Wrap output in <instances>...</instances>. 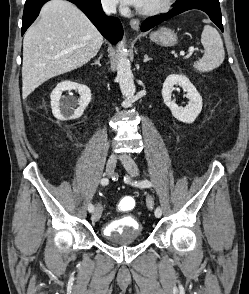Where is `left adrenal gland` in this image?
Masks as SVG:
<instances>
[{"mask_svg":"<svg viewBox=\"0 0 249 294\" xmlns=\"http://www.w3.org/2000/svg\"><path fill=\"white\" fill-rule=\"evenodd\" d=\"M150 59H151V58H149L148 55L145 54V56H144V61H143V62H147V61H149Z\"/></svg>","mask_w":249,"mask_h":294,"instance_id":"a2214340","label":"left adrenal gland"}]
</instances>
